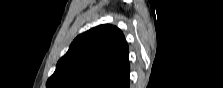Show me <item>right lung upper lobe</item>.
Masks as SVG:
<instances>
[{
    "label": "right lung upper lobe",
    "mask_w": 223,
    "mask_h": 88,
    "mask_svg": "<svg viewBox=\"0 0 223 88\" xmlns=\"http://www.w3.org/2000/svg\"><path fill=\"white\" fill-rule=\"evenodd\" d=\"M128 45L120 29L105 24L77 36L58 61L47 88H129Z\"/></svg>",
    "instance_id": "obj_1"
}]
</instances>
